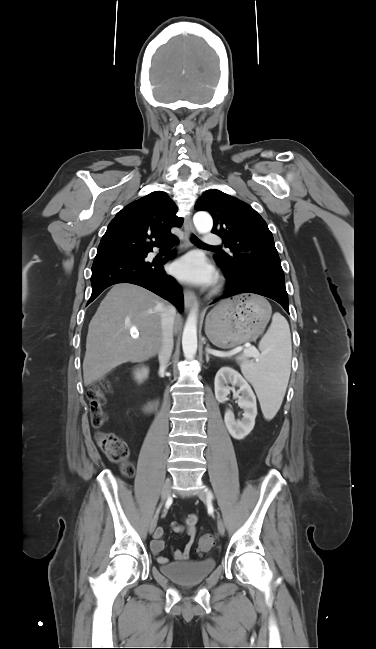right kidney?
Returning <instances> with one entry per match:
<instances>
[{
  "mask_svg": "<svg viewBox=\"0 0 376 649\" xmlns=\"http://www.w3.org/2000/svg\"><path fill=\"white\" fill-rule=\"evenodd\" d=\"M148 373H149L148 368L142 367V368L137 369L134 372V376H135V379L138 382H142L143 380H145L148 377Z\"/></svg>",
  "mask_w": 376,
  "mask_h": 649,
  "instance_id": "1",
  "label": "right kidney"
}]
</instances>
